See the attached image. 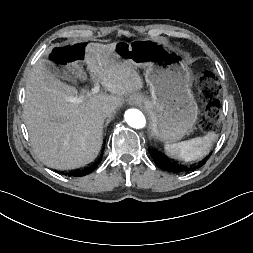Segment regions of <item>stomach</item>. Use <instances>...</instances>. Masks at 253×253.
<instances>
[{
    "label": "stomach",
    "instance_id": "1",
    "mask_svg": "<svg viewBox=\"0 0 253 253\" xmlns=\"http://www.w3.org/2000/svg\"><path fill=\"white\" fill-rule=\"evenodd\" d=\"M114 52L120 60L145 69L151 97H139L153 136L169 144L192 132L198 106L190 89L192 72L182 56L150 40L117 42Z\"/></svg>",
    "mask_w": 253,
    "mask_h": 253
}]
</instances>
